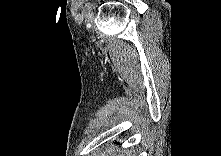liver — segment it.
Wrapping results in <instances>:
<instances>
[{"label": "liver", "mask_w": 221, "mask_h": 156, "mask_svg": "<svg viewBox=\"0 0 221 156\" xmlns=\"http://www.w3.org/2000/svg\"><path fill=\"white\" fill-rule=\"evenodd\" d=\"M114 153H115L114 148H113V149H112V148L109 149L108 152H107L108 155H112V154H114ZM104 154H105V153H104Z\"/></svg>", "instance_id": "obj_1"}]
</instances>
